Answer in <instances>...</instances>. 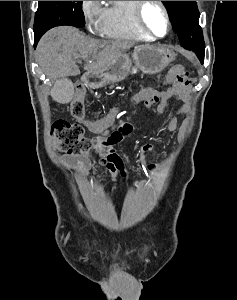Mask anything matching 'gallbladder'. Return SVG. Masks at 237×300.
<instances>
[{
  "label": "gallbladder",
  "mask_w": 237,
  "mask_h": 300,
  "mask_svg": "<svg viewBox=\"0 0 237 300\" xmlns=\"http://www.w3.org/2000/svg\"><path fill=\"white\" fill-rule=\"evenodd\" d=\"M71 81V76H60L59 82L54 85L52 95L57 105H69L75 92Z\"/></svg>",
  "instance_id": "1"
}]
</instances>
